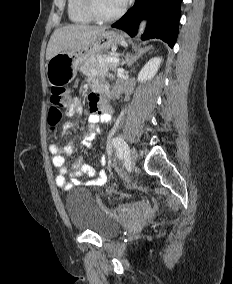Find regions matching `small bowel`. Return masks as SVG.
<instances>
[{
	"label": "small bowel",
	"instance_id": "c3829d8e",
	"mask_svg": "<svg viewBox=\"0 0 233 284\" xmlns=\"http://www.w3.org/2000/svg\"><path fill=\"white\" fill-rule=\"evenodd\" d=\"M89 86L95 91L88 97L89 102V117L88 129L82 133L77 140L82 143L91 142L96 136L97 124L100 122H109L110 114L106 105L103 104L101 98L97 94L102 90V83L98 80H91ZM83 107L77 98H71L66 110V115L69 117L81 115ZM73 126V123L67 122L63 125V131H67ZM73 141L64 147L52 143L49 146V151L52 155V163L58 169L56 176V184L64 190H70L77 185L87 186H102L105 184L107 175L104 169H96L93 166L83 162L82 158L77 159L71 166L66 165V157L72 152ZM101 164L107 163V157L101 158ZM85 175L90 179L82 181L81 177ZM70 177V179H68Z\"/></svg>",
	"mask_w": 233,
	"mask_h": 284
}]
</instances>
